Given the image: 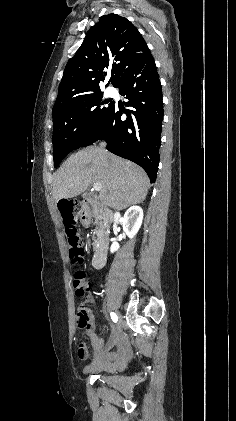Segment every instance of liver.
Returning <instances> with one entry per match:
<instances>
[{"mask_svg": "<svg viewBox=\"0 0 236 421\" xmlns=\"http://www.w3.org/2000/svg\"><path fill=\"white\" fill-rule=\"evenodd\" d=\"M91 182H100L102 186L99 192L102 206L117 211L142 202L150 186L145 170L135 162L89 146L71 154L54 172L53 196L55 200L72 198L84 192Z\"/></svg>", "mask_w": 236, "mask_h": 421, "instance_id": "liver-1", "label": "liver"}]
</instances>
